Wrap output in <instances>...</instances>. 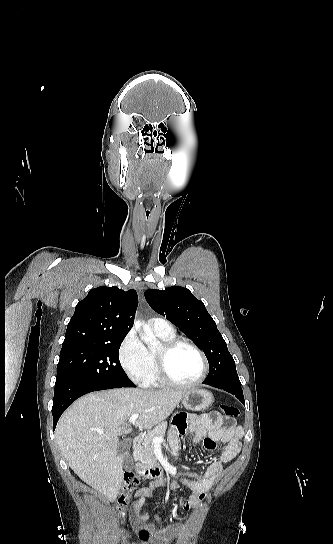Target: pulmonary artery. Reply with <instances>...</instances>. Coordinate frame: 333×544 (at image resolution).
I'll list each match as a JSON object with an SVG mask.
<instances>
[{
	"label": "pulmonary artery",
	"instance_id": "e3ab8cb5",
	"mask_svg": "<svg viewBox=\"0 0 333 544\" xmlns=\"http://www.w3.org/2000/svg\"><path fill=\"white\" fill-rule=\"evenodd\" d=\"M148 323L154 330L159 332L171 333L174 331L172 325L167 320L162 318H151L149 319Z\"/></svg>",
	"mask_w": 333,
	"mask_h": 544
}]
</instances>
